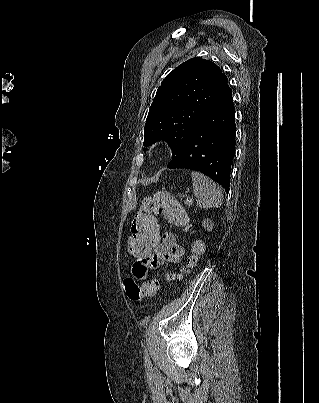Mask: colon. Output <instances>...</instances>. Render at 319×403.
Masks as SVG:
<instances>
[{
	"instance_id": "1",
	"label": "colon",
	"mask_w": 319,
	"mask_h": 403,
	"mask_svg": "<svg viewBox=\"0 0 319 403\" xmlns=\"http://www.w3.org/2000/svg\"><path fill=\"white\" fill-rule=\"evenodd\" d=\"M157 214L164 215L174 224H184V210L174 196L160 191L153 196L145 197L139 211L132 219L130 238L126 239L129 264H136L137 259L143 255H147V259L151 258V251L159 246L163 223L155 218ZM169 235L167 234L168 237ZM203 249L204 246L200 242L193 245V255L188 260L189 268L194 265L197 255L201 254ZM128 277H124V289L130 302L152 297L159 289L157 279L141 284V282L130 283Z\"/></svg>"
}]
</instances>
